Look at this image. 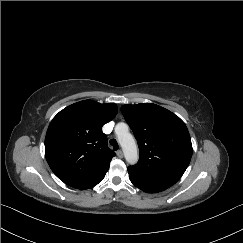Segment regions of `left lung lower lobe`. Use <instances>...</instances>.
Here are the masks:
<instances>
[{
	"label": "left lung lower lobe",
	"mask_w": 243,
	"mask_h": 243,
	"mask_svg": "<svg viewBox=\"0 0 243 243\" xmlns=\"http://www.w3.org/2000/svg\"><path fill=\"white\" fill-rule=\"evenodd\" d=\"M181 176V174H166L152 178H133L131 176H129V178L130 181L139 189L147 193H156L175 184Z\"/></svg>",
	"instance_id": "1"
}]
</instances>
